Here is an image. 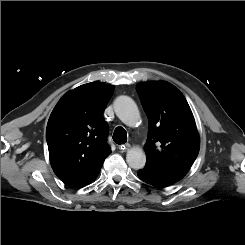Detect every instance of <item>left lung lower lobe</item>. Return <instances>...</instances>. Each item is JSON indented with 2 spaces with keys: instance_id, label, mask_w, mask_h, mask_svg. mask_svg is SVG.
I'll use <instances>...</instances> for the list:
<instances>
[{
  "instance_id": "0a47b994",
  "label": "left lung lower lobe",
  "mask_w": 245,
  "mask_h": 245,
  "mask_svg": "<svg viewBox=\"0 0 245 245\" xmlns=\"http://www.w3.org/2000/svg\"><path fill=\"white\" fill-rule=\"evenodd\" d=\"M137 175L143 182L158 188L172 186L182 179L180 176L169 174L149 165H145L144 168L138 170Z\"/></svg>"
}]
</instances>
